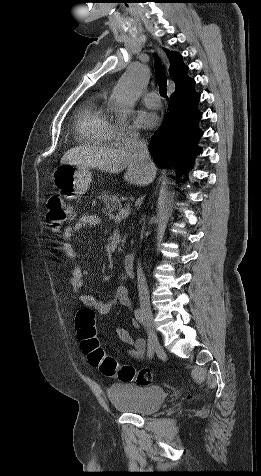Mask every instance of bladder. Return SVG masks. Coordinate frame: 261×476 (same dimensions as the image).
Wrapping results in <instances>:
<instances>
[{
  "label": "bladder",
  "mask_w": 261,
  "mask_h": 476,
  "mask_svg": "<svg viewBox=\"0 0 261 476\" xmlns=\"http://www.w3.org/2000/svg\"><path fill=\"white\" fill-rule=\"evenodd\" d=\"M108 397L112 405L121 412L150 415L162 407L166 393L158 385L146 386L122 382L110 386Z\"/></svg>",
  "instance_id": "bladder-1"
}]
</instances>
